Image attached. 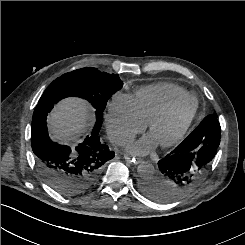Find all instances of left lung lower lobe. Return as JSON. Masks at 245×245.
<instances>
[{
	"mask_svg": "<svg viewBox=\"0 0 245 245\" xmlns=\"http://www.w3.org/2000/svg\"><path fill=\"white\" fill-rule=\"evenodd\" d=\"M220 138L217 118L206 116L183 142L158 162L155 178L142 184L144 193L164 201L185 192L215 157Z\"/></svg>",
	"mask_w": 245,
	"mask_h": 245,
	"instance_id": "left-lung-lower-lobe-1",
	"label": "left lung lower lobe"
}]
</instances>
